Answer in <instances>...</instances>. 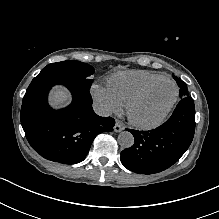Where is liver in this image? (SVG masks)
I'll return each instance as SVG.
<instances>
[{
	"instance_id": "6515ba94",
	"label": "liver",
	"mask_w": 219,
	"mask_h": 219,
	"mask_svg": "<svg viewBox=\"0 0 219 219\" xmlns=\"http://www.w3.org/2000/svg\"><path fill=\"white\" fill-rule=\"evenodd\" d=\"M73 94L71 90L62 83L54 84L46 95V104L53 111H60L72 104Z\"/></svg>"
}]
</instances>
